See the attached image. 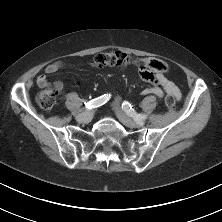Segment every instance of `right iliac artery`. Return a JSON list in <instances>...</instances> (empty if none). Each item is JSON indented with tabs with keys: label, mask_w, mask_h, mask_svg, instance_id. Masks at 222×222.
Instances as JSON below:
<instances>
[{
	"label": "right iliac artery",
	"mask_w": 222,
	"mask_h": 222,
	"mask_svg": "<svg viewBox=\"0 0 222 222\" xmlns=\"http://www.w3.org/2000/svg\"><path fill=\"white\" fill-rule=\"evenodd\" d=\"M110 96H111L110 94H104L98 98L90 100L87 103L85 102V106L87 109H92L102 106L110 99Z\"/></svg>",
	"instance_id": "right-iliac-artery-1"
}]
</instances>
